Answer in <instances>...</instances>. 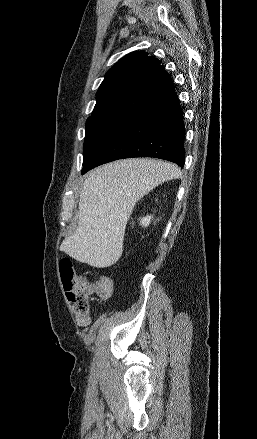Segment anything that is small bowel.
I'll return each mask as SVG.
<instances>
[{
	"mask_svg": "<svg viewBox=\"0 0 257 439\" xmlns=\"http://www.w3.org/2000/svg\"><path fill=\"white\" fill-rule=\"evenodd\" d=\"M91 317L87 316V317H81L76 315V321L78 323V325L83 326V327H87L88 325H90L91 323Z\"/></svg>",
	"mask_w": 257,
	"mask_h": 439,
	"instance_id": "obj_1",
	"label": "small bowel"
}]
</instances>
